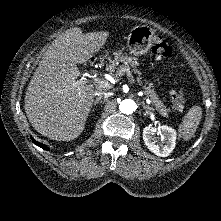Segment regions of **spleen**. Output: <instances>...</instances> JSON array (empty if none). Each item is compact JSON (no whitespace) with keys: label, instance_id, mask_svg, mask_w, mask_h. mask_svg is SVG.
Segmentation results:
<instances>
[{"label":"spleen","instance_id":"3e777b00","mask_svg":"<svg viewBox=\"0 0 221 221\" xmlns=\"http://www.w3.org/2000/svg\"><path fill=\"white\" fill-rule=\"evenodd\" d=\"M201 118L202 108L200 106L190 108L179 125L178 131L180 132V136L185 140H190L196 132Z\"/></svg>","mask_w":221,"mask_h":221}]
</instances>
